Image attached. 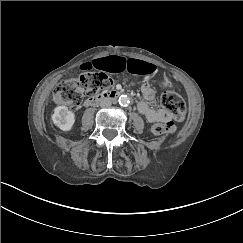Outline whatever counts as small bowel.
Listing matches in <instances>:
<instances>
[{
  "label": "small bowel",
  "instance_id": "small-bowel-1",
  "mask_svg": "<svg viewBox=\"0 0 243 243\" xmlns=\"http://www.w3.org/2000/svg\"><path fill=\"white\" fill-rule=\"evenodd\" d=\"M81 69L83 71L99 70L109 73L129 72L137 75H148L154 73L156 67L147 61L112 55L84 63ZM142 94L143 100L138 104L139 111L149 122L165 121L168 118L167 115L151 106L154 99V91L148 84L142 86Z\"/></svg>",
  "mask_w": 243,
  "mask_h": 243
}]
</instances>
